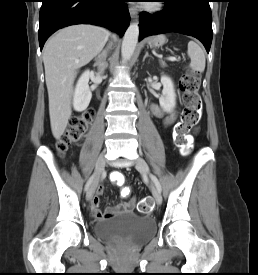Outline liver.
<instances>
[{
    "label": "liver",
    "mask_w": 258,
    "mask_h": 275,
    "mask_svg": "<svg viewBox=\"0 0 258 275\" xmlns=\"http://www.w3.org/2000/svg\"><path fill=\"white\" fill-rule=\"evenodd\" d=\"M108 32L94 25H73L53 35L43 49L49 115L54 138L64 133L71 116V95L77 70L96 57Z\"/></svg>",
    "instance_id": "obj_1"
}]
</instances>
